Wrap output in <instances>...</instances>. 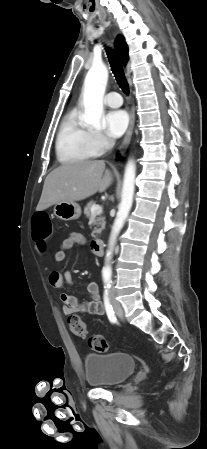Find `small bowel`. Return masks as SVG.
I'll return each instance as SVG.
<instances>
[{
  "instance_id": "1",
  "label": "small bowel",
  "mask_w": 207,
  "mask_h": 449,
  "mask_svg": "<svg viewBox=\"0 0 207 449\" xmlns=\"http://www.w3.org/2000/svg\"><path fill=\"white\" fill-rule=\"evenodd\" d=\"M86 242L85 237L78 232H72L61 243V249L54 255L56 263H62L66 257V251L76 245H82ZM51 286L57 290H64L66 284L73 285V277L70 271L63 272L53 271L49 276ZM87 293L90 297L88 301L80 302L77 296L70 292H62L60 300L63 302V312L65 315H73L76 313H86L94 316H101L105 312L103 303L100 300L99 289L96 282L91 281L87 284Z\"/></svg>"
}]
</instances>
